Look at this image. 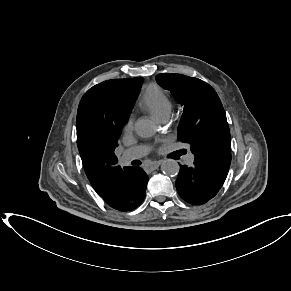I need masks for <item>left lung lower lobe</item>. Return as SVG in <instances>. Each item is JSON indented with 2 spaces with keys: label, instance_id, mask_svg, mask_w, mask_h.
<instances>
[{
  "label": "left lung lower lobe",
  "instance_id": "obj_1",
  "mask_svg": "<svg viewBox=\"0 0 291 291\" xmlns=\"http://www.w3.org/2000/svg\"><path fill=\"white\" fill-rule=\"evenodd\" d=\"M225 179L226 177L194 161L191 167L180 165L175 185L184 201L192 205H202L216 196Z\"/></svg>",
  "mask_w": 291,
  "mask_h": 291
}]
</instances>
